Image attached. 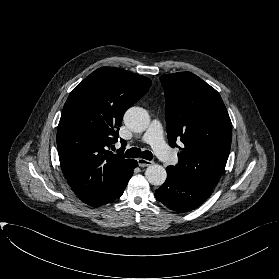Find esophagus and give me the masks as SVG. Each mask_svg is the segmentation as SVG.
Instances as JSON below:
<instances>
[{"instance_id": "esophagus-1", "label": "esophagus", "mask_w": 279, "mask_h": 279, "mask_svg": "<svg viewBox=\"0 0 279 279\" xmlns=\"http://www.w3.org/2000/svg\"><path fill=\"white\" fill-rule=\"evenodd\" d=\"M137 161L140 167H147L153 164V161H149L143 158H139Z\"/></svg>"}]
</instances>
